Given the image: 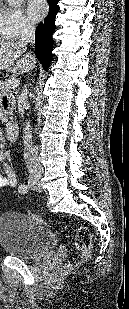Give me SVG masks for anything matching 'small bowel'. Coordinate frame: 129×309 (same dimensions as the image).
Listing matches in <instances>:
<instances>
[{
  "mask_svg": "<svg viewBox=\"0 0 129 309\" xmlns=\"http://www.w3.org/2000/svg\"><path fill=\"white\" fill-rule=\"evenodd\" d=\"M2 142L3 137L0 134V145ZM0 166L3 170V173L0 174V188L15 186L17 184V176L9 163V154L6 151H0Z\"/></svg>",
  "mask_w": 129,
  "mask_h": 309,
  "instance_id": "obj_1",
  "label": "small bowel"
}]
</instances>
